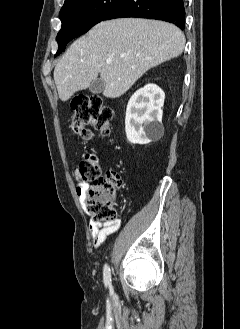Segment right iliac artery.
Segmentation results:
<instances>
[{"instance_id":"1","label":"right iliac artery","mask_w":240,"mask_h":329,"mask_svg":"<svg viewBox=\"0 0 240 329\" xmlns=\"http://www.w3.org/2000/svg\"><path fill=\"white\" fill-rule=\"evenodd\" d=\"M104 284L107 287L111 286V271L110 267L106 264L103 269Z\"/></svg>"}]
</instances>
